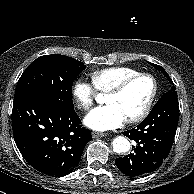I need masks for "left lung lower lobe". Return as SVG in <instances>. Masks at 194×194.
<instances>
[{
	"mask_svg": "<svg viewBox=\"0 0 194 194\" xmlns=\"http://www.w3.org/2000/svg\"><path fill=\"white\" fill-rule=\"evenodd\" d=\"M179 120L177 96L161 98L136 128L123 132L137 144L133 152L117 158L118 169L129 177L155 171L168 156Z\"/></svg>",
	"mask_w": 194,
	"mask_h": 194,
	"instance_id": "1",
	"label": "left lung lower lobe"
}]
</instances>
